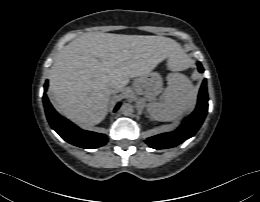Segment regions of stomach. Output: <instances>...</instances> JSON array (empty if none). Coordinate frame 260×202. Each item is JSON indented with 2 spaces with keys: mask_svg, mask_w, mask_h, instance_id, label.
<instances>
[{
  "mask_svg": "<svg viewBox=\"0 0 260 202\" xmlns=\"http://www.w3.org/2000/svg\"><path fill=\"white\" fill-rule=\"evenodd\" d=\"M135 91L148 100H153L162 92V79L159 73L149 72L135 82Z\"/></svg>",
  "mask_w": 260,
  "mask_h": 202,
  "instance_id": "stomach-1",
  "label": "stomach"
}]
</instances>
